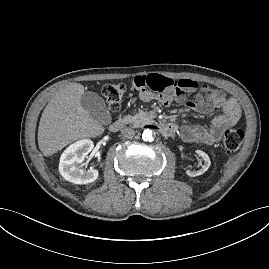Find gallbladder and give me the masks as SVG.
Returning <instances> with one entry per match:
<instances>
[{"instance_id":"gallbladder-1","label":"gallbladder","mask_w":269,"mask_h":269,"mask_svg":"<svg viewBox=\"0 0 269 269\" xmlns=\"http://www.w3.org/2000/svg\"><path fill=\"white\" fill-rule=\"evenodd\" d=\"M80 103L95 121L103 125H109L111 123V114L107 109L103 98L97 93L92 91L84 92L81 96Z\"/></svg>"}]
</instances>
